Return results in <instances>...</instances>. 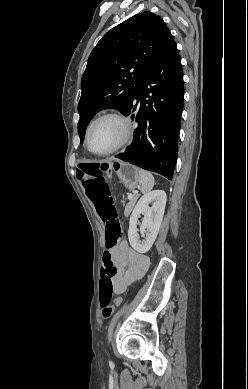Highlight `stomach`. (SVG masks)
Wrapping results in <instances>:
<instances>
[{
	"label": "stomach",
	"instance_id": "0dacf381",
	"mask_svg": "<svg viewBox=\"0 0 248 389\" xmlns=\"http://www.w3.org/2000/svg\"><path fill=\"white\" fill-rule=\"evenodd\" d=\"M112 169L113 171H116V176H118L119 181L126 189L133 190L140 185L141 180L137 167L120 162L118 164H113Z\"/></svg>",
	"mask_w": 248,
	"mask_h": 389
}]
</instances>
